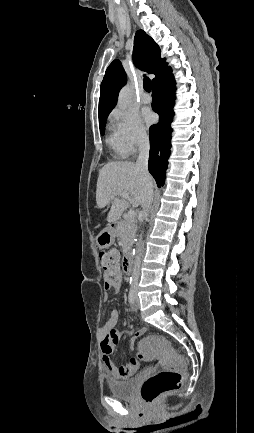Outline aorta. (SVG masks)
I'll list each match as a JSON object with an SVG mask.
<instances>
[{
	"label": "aorta",
	"instance_id": "obj_1",
	"mask_svg": "<svg viewBox=\"0 0 254 433\" xmlns=\"http://www.w3.org/2000/svg\"><path fill=\"white\" fill-rule=\"evenodd\" d=\"M131 102H132V96L129 88L126 86L120 91L117 104L119 108L127 109L131 104Z\"/></svg>",
	"mask_w": 254,
	"mask_h": 433
}]
</instances>
